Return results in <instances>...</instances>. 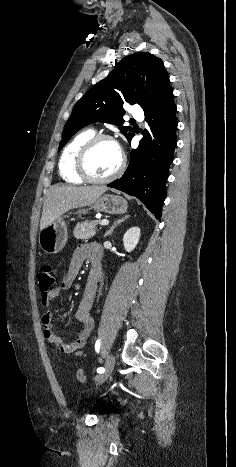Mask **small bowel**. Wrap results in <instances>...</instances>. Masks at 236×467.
<instances>
[{
	"label": "small bowel",
	"instance_id": "obj_1",
	"mask_svg": "<svg viewBox=\"0 0 236 467\" xmlns=\"http://www.w3.org/2000/svg\"><path fill=\"white\" fill-rule=\"evenodd\" d=\"M100 258L101 250L97 245H79L75 249L69 267L64 273L59 285L56 288H54L50 293L44 295L41 300L43 307L49 308L52 301L59 297L62 291L69 290L72 287L74 280L77 278L83 266V263L86 260L90 261L91 268H96L98 273L97 279L95 281H92L88 275L81 300L75 312V318L82 325V329L76 339L66 343L60 336H58L55 333L52 326V311L48 310L42 316L41 323L43 327L44 338L49 344L53 345L56 348V350L62 354L79 355L81 349H83L86 346L87 341L93 331L94 321L90 314V311L96 295L97 282L100 276Z\"/></svg>",
	"mask_w": 236,
	"mask_h": 467
}]
</instances>
